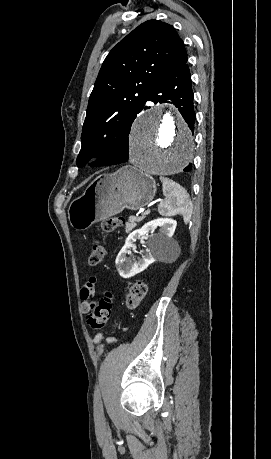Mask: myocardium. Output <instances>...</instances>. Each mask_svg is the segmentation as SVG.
<instances>
[{"label": "myocardium", "mask_w": 271, "mask_h": 459, "mask_svg": "<svg viewBox=\"0 0 271 459\" xmlns=\"http://www.w3.org/2000/svg\"><path fill=\"white\" fill-rule=\"evenodd\" d=\"M112 157V152L107 149H101L93 154V159L97 162L105 161Z\"/></svg>", "instance_id": "myocardium-1"}]
</instances>
